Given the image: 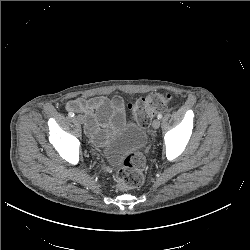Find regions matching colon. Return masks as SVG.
<instances>
[{
  "mask_svg": "<svg viewBox=\"0 0 250 250\" xmlns=\"http://www.w3.org/2000/svg\"><path fill=\"white\" fill-rule=\"evenodd\" d=\"M168 93H152L137 99L131 106V112L137 123L146 128L152 117L159 111H165L171 104ZM145 160L140 152H133L124 157L121 167L114 177V187L118 190L139 187L144 180Z\"/></svg>",
  "mask_w": 250,
  "mask_h": 250,
  "instance_id": "colon-1",
  "label": "colon"
}]
</instances>
